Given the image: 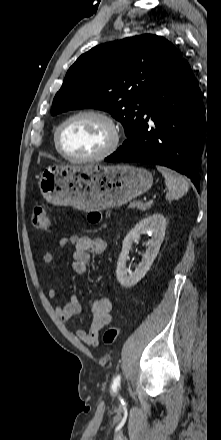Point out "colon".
Listing matches in <instances>:
<instances>
[{"label":"colon","instance_id":"obj_1","mask_svg":"<svg viewBox=\"0 0 221 440\" xmlns=\"http://www.w3.org/2000/svg\"><path fill=\"white\" fill-rule=\"evenodd\" d=\"M88 221L92 224L99 223L104 215L99 211H91L88 213ZM32 224L38 230L46 231L50 227V220L46 210L43 207L37 206L32 215ZM120 334V327L117 324L111 325L104 333L103 342L107 346L115 344Z\"/></svg>","mask_w":221,"mask_h":440}]
</instances>
